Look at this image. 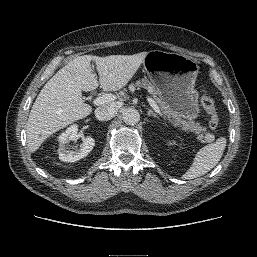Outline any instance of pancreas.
Returning a JSON list of instances; mask_svg holds the SVG:
<instances>
[{"label":"pancreas","instance_id":"cf45deb5","mask_svg":"<svg viewBox=\"0 0 257 257\" xmlns=\"http://www.w3.org/2000/svg\"><path fill=\"white\" fill-rule=\"evenodd\" d=\"M137 86L143 87L147 89L155 102L159 105L162 110V114L169 119L174 126L181 127L184 131L194 132L197 135V139L205 143L206 136L204 134L205 128L201 127L199 124H195L193 121H186L183 120L177 113L172 111L168 106L167 102L162 97L160 91L156 88L154 84L149 82L146 78L142 79L141 81L136 82L135 84H131V88H135Z\"/></svg>","mask_w":257,"mask_h":257}]
</instances>
